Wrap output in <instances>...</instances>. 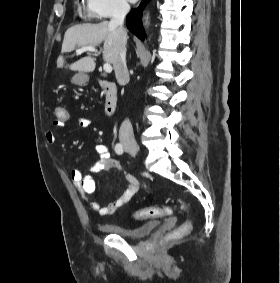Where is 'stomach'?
I'll return each instance as SVG.
<instances>
[{"label":"stomach","instance_id":"stomach-1","mask_svg":"<svg viewBox=\"0 0 280 283\" xmlns=\"http://www.w3.org/2000/svg\"><path fill=\"white\" fill-rule=\"evenodd\" d=\"M87 80H88V76L82 72L74 75V77L72 78V82L77 85H82L85 82H87Z\"/></svg>","mask_w":280,"mask_h":283}]
</instances>
